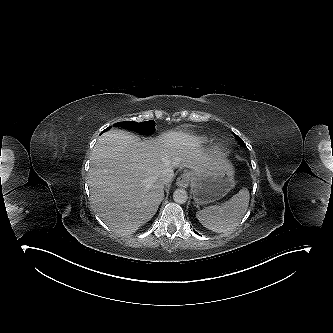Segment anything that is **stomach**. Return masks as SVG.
Masks as SVG:
<instances>
[{
    "instance_id": "1",
    "label": "stomach",
    "mask_w": 333,
    "mask_h": 333,
    "mask_svg": "<svg viewBox=\"0 0 333 333\" xmlns=\"http://www.w3.org/2000/svg\"><path fill=\"white\" fill-rule=\"evenodd\" d=\"M232 168L219 165L202 173L192 172L191 189L194 201L205 205L223 198L234 187Z\"/></svg>"
}]
</instances>
